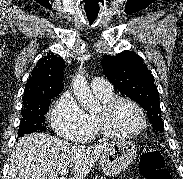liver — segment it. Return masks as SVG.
Returning a JSON list of instances; mask_svg holds the SVG:
<instances>
[{"label":"liver","mask_w":183,"mask_h":179,"mask_svg":"<svg viewBox=\"0 0 183 179\" xmlns=\"http://www.w3.org/2000/svg\"><path fill=\"white\" fill-rule=\"evenodd\" d=\"M72 145L45 133H32L14 147L6 179H59L61 169L73 167L74 177L84 179L110 145Z\"/></svg>","instance_id":"1"}]
</instances>
